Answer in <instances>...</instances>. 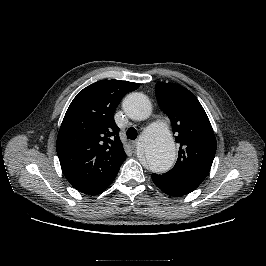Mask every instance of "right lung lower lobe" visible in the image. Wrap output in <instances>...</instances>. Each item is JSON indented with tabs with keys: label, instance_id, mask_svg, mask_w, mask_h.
<instances>
[{
	"label": "right lung lower lobe",
	"instance_id": "98d812e1",
	"mask_svg": "<svg viewBox=\"0 0 266 266\" xmlns=\"http://www.w3.org/2000/svg\"><path fill=\"white\" fill-rule=\"evenodd\" d=\"M116 177V176H115ZM115 177L114 178H112L109 182H107L104 186H102L101 188H99V189H97V190H95V191H93V192H91V193H86V194H88V195H98V194H100L102 191H104L112 182H113V180L115 179Z\"/></svg>",
	"mask_w": 266,
	"mask_h": 266
}]
</instances>
